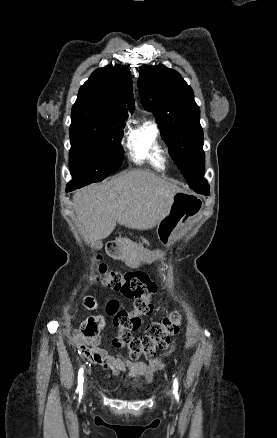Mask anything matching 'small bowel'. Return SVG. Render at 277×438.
<instances>
[{
	"instance_id": "c3829d8e",
	"label": "small bowel",
	"mask_w": 277,
	"mask_h": 438,
	"mask_svg": "<svg viewBox=\"0 0 277 438\" xmlns=\"http://www.w3.org/2000/svg\"><path fill=\"white\" fill-rule=\"evenodd\" d=\"M73 339L78 347L79 344L81 346H96L100 342L101 337L97 336L91 339H81V336L75 333ZM174 347L175 344H173L171 349L163 356L150 360L149 362H128L121 355H109L104 347L91 348L83 353L88 358V353L90 352L89 361L93 362L95 367L100 365L104 367V369H107V367L112 368L103 371V374H107L108 376L121 375L124 379H138L141 383L148 384L152 381L154 375L164 368V359L172 352Z\"/></svg>"
}]
</instances>
